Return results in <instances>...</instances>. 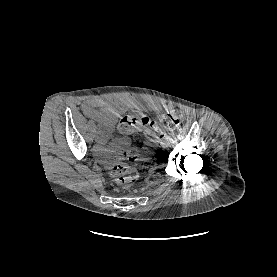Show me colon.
<instances>
[{
	"mask_svg": "<svg viewBox=\"0 0 277 277\" xmlns=\"http://www.w3.org/2000/svg\"><path fill=\"white\" fill-rule=\"evenodd\" d=\"M182 121V114L174 110L160 117L157 122L149 123V120L139 115H126L121 118L118 128L120 132L129 134L144 130L147 126L161 134L163 130H174ZM157 138H148L142 147L145 155H152L156 151ZM139 151L135 148L116 151L111 158V175L117 185L124 189H130L138 179V171L127 164V162H137Z\"/></svg>",
	"mask_w": 277,
	"mask_h": 277,
	"instance_id": "colon-1",
	"label": "colon"
}]
</instances>
